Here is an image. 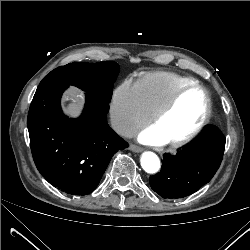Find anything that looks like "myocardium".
Wrapping results in <instances>:
<instances>
[{
	"label": "myocardium",
	"mask_w": 250,
	"mask_h": 250,
	"mask_svg": "<svg viewBox=\"0 0 250 250\" xmlns=\"http://www.w3.org/2000/svg\"><path fill=\"white\" fill-rule=\"evenodd\" d=\"M191 89H199L203 92L205 98L204 114L199 123L189 133L180 138L169 141L168 145L171 147H180L189 143L195 137H197L199 133L207 125L212 112V102L208 90L203 85L197 82L184 84L180 86L178 89H176V91L171 95V97L167 100V102L151 117V125L153 126L157 124L160 120H162L173 109L179 98L186 91Z\"/></svg>",
	"instance_id": "obj_1"
}]
</instances>
